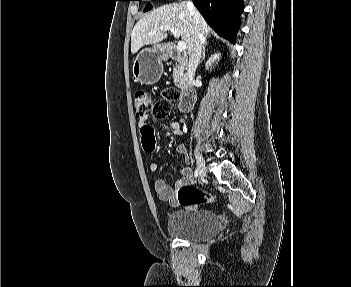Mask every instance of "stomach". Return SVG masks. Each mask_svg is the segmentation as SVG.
<instances>
[{"label":"stomach","instance_id":"1","mask_svg":"<svg viewBox=\"0 0 351 287\" xmlns=\"http://www.w3.org/2000/svg\"><path fill=\"white\" fill-rule=\"evenodd\" d=\"M165 57L166 52L160 45L141 50L133 62L135 80L145 85L157 83L163 73L162 61Z\"/></svg>","mask_w":351,"mask_h":287}]
</instances>
